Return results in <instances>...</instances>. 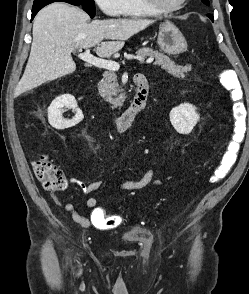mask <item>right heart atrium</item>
I'll return each instance as SVG.
<instances>
[{
    "mask_svg": "<svg viewBox=\"0 0 249 294\" xmlns=\"http://www.w3.org/2000/svg\"><path fill=\"white\" fill-rule=\"evenodd\" d=\"M121 0H95L98 7L109 16L119 15Z\"/></svg>",
    "mask_w": 249,
    "mask_h": 294,
    "instance_id": "d8ad5b80",
    "label": "right heart atrium"
}]
</instances>
